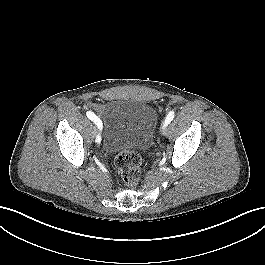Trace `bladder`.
Returning <instances> with one entry per match:
<instances>
[{
  "label": "bladder",
  "mask_w": 265,
  "mask_h": 265,
  "mask_svg": "<svg viewBox=\"0 0 265 265\" xmlns=\"http://www.w3.org/2000/svg\"><path fill=\"white\" fill-rule=\"evenodd\" d=\"M157 112L148 103L114 99L106 104L103 148L110 153L147 150L157 124Z\"/></svg>",
  "instance_id": "obj_1"
}]
</instances>
